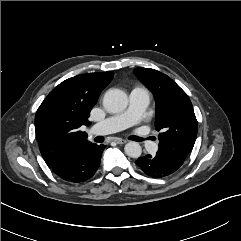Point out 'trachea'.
I'll list each match as a JSON object with an SVG mask.
<instances>
[{"label": "trachea", "mask_w": 241, "mask_h": 241, "mask_svg": "<svg viewBox=\"0 0 241 241\" xmlns=\"http://www.w3.org/2000/svg\"><path fill=\"white\" fill-rule=\"evenodd\" d=\"M148 139H151V138H148ZM95 140H96V142H103V138H101V137H96ZM133 140L138 141V142H141V141H143L144 139L135 136V137H133Z\"/></svg>", "instance_id": "obj_1"}]
</instances>
